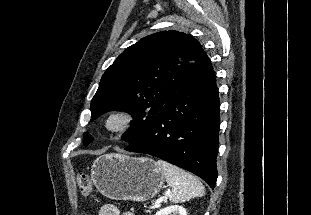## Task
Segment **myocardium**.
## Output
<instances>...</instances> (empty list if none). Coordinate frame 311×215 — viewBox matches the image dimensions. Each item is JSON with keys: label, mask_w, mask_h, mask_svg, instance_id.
<instances>
[{"label": "myocardium", "mask_w": 311, "mask_h": 215, "mask_svg": "<svg viewBox=\"0 0 311 215\" xmlns=\"http://www.w3.org/2000/svg\"><path fill=\"white\" fill-rule=\"evenodd\" d=\"M133 115L122 109L110 110L103 118L102 124L106 132L110 134H122L133 124Z\"/></svg>", "instance_id": "myocardium-1"}]
</instances>
